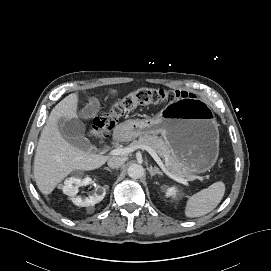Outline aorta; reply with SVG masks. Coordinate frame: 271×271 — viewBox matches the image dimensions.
<instances>
[{
    "mask_svg": "<svg viewBox=\"0 0 271 271\" xmlns=\"http://www.w3.org/2000/svg\"><path fill=\"white\" fill-rule=\"evenodd\" d=\"M127 171L128 176L132 179H139L144 175V168L139 164H131Z\"/></svg>",
    "mask_w": 271,
    "mask_h": 271,
    "instance_id": "1",
    "label": "aorta"
}]
</instances>
